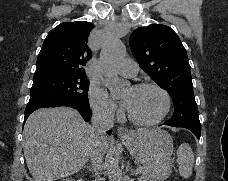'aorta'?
Listing matches in <instances>:
<instances>
[{
	"label": "aorta",
	"instance_id": "obj_1",
	"mask_svg": "<svg viewBox=\"0 0 228 181\" xmlns=\"http://www.w3.org/2000/svg\"><path fill=\"white\" fill-rule=\"evenodd\" d=\"M126 53L124 44L115 36L109 37L100 53V67L104 74L105 85L113 96L120 95L128 86L116 72L117 64ZM109 181H122V171L112 162L108 168Z\"/></svg>",
	"mask_w": 228,
	"mask_h": 181
}]
</instances>
